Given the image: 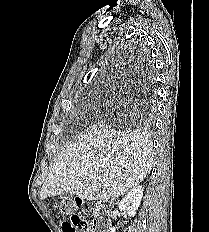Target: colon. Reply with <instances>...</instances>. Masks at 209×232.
I'll return each mask as SVG.
<instances>
[{"mask_svg": "<svg viewBox=\"0 0 209 232\" xmlns=\"http://www.w3.org/2000/svg\"><path fill=\"white\" fill-rule=\"evenodd\" d=\"M64 232H92V226L84 213L72 214L69 222L63 223Z\"/></svg>", "mask_w": 209, "mask_h": 232, "instance_id": "1", "label": "colon"}]
</instances>
